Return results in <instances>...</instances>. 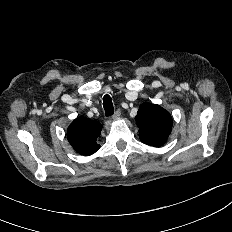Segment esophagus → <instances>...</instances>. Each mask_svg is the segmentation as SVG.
<instances>
[{
  "label": "esophagus",
  "mask_w": 232,
  "mask_h": 232,
  "mask_svg": "<svg viewBox=\"0 0 232 232\" xmlns=\"http://www.w3.org/2000/svg\"><path fill=\"white\" fill-rule=\"evenodd\" d=\"M121 116V111L120 109H117L115 113L113 114L112 118L113 119H118Z\"/></svg>",
  "instance_id": "esophagus-1"
}]
</instances>
